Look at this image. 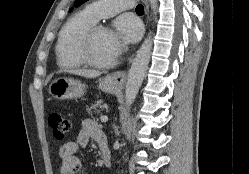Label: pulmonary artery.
I'll return each mask as SVG.
<instances>
[{
    "label": "pulmonary artery",
    "mask_w": 249,
    "mask_h": 174,
    "mask_svg": "<svg viewBox=\"0 0 249 174\" xmlns=\"http://www.w3.org/2000/svg\"><path fill=\"white\" fill-rule=\"evenodd\" d=\"M134 0H97L85 8V13L94 21L109 17L123 10L132 9Z\"/></svg>",
    "instance_id": "pulmonary-artery-1"
}]
</instances>
